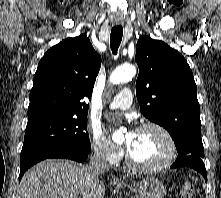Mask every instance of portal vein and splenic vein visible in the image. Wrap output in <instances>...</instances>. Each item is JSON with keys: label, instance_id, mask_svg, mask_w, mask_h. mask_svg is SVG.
Instances as JSON below:
<instances>
[{"label": "portal vein and splenic vein", "instance_id": "1", "mask_svg": "<svg viewBox=\"0 0 221 198\" xmlns=\"http://www.w3.org/2000/svg\"><path fill=\"white\" fill-rule=\"evenodd\" d=\"M71 198H78L77 196H73V197H71Z\"/></svg>", "mask_w": 221, "mask_h": 198}]
</instances>
